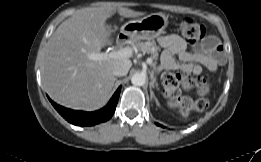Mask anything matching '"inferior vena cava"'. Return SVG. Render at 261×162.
I'll list each match as a JSON object with an SVG mask.
<instances>
[{
    "label": "inferior vena cava",
    "instance_id": "inferior-vena-cava-1",
    "mask_svg": "<svg viewBox=\"0 0 261 162\" xmlns=\"http://www.w3.org/2000/svg\"><path fill=\"white\" fill-rule=\"evenodd\" d=\"M132 63L130 61L118 62L113 68V74L115 76L127 75Z\"/></svg>",
    "mask_w": 261,
    "mask_h": 162
}]
</instances>
